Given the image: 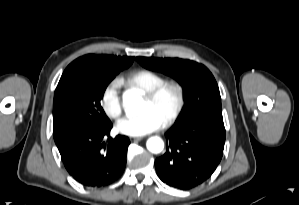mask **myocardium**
I'll return each instance as SVG.
<instances>
[{"instance_id":"obj_1","label":"myocardium","mask_w":299,"mask_h":205,"mask_svg":"<svg viewBox=\"0 0 299 205\" xmlns=\"http://www.w3.org/2000/svg\"><path fill=\"white\" fill-rule=\"evenodd\" d=\"M171 90L175 93V103L170 114L162 121V125L167 127L173 124L180 116L185 105V88L175 80L163 81L153 89L144 93V98L150 102L158 100L166 91Z\"/></svg>"}]
</instances>
